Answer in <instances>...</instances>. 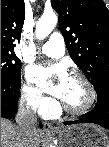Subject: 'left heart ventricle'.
Here are the masks:
<instances>
[{
  "label": "left heart ventricle",
  "instance_id": "1",
  "mask_svg": "<svg viewBox=\"0 0 109 147\" xmlns=\"http://www.w3.org/2000/svg\"><path fill=\"white\" fill-rule=\"evenodd\" d=\"M90 94L86 85L79 79L69 78L64 87L62 100L71 108L78 109L89 101Z\"/></svg>",
  "mask_w": 109,
  "mask_h": 147
}]
</instances>
